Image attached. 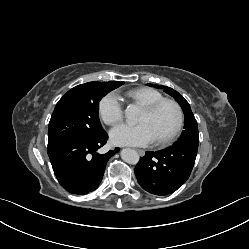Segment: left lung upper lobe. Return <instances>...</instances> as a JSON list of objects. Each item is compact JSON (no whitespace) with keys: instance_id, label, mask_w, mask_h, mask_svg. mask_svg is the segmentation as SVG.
I'll list each match as a JSON object with an SVG mask.
<instances>
[{"instance_id":"obj_1","label":"left lung upper lobe","mask_w":249,"mask_h":249,"mask_svg":"<svg viewBox=\"0 0 249 249\" xmlns=\"http://www.w3.org/2000/svg\"><path fill=\"white\" fill-rule=\"evenodd\" d=\"M156 88H163L166 93L175 98V100L180 104L185 120H184V131L181 137L172 145L176 146H192L197 147L199 144L198 127L197 121L191 111L189 103L175 90L166 86H159L156 84H148Z\"/></svg>"}]
</instances>
